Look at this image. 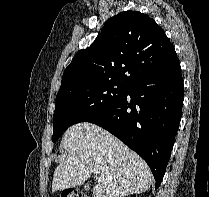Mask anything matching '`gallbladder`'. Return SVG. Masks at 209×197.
Returning <instances> with one entry per match:
<instances>
[{"label": "gallbladder", "mask_w": 209, "mask_h": 197, "mask_svg": "<svg viewBox=\"0 0 209 197\" xmlns=\"http://www.w3.org/2000/svg\"><path fill=\"white\" fill-rule=\"evenodd\" d=\"M89 188H90V185H89V184H85V185H84V189H85V190H89Z\"/></svg>", "instance_id": "bac80fb5"}]
</instances>
